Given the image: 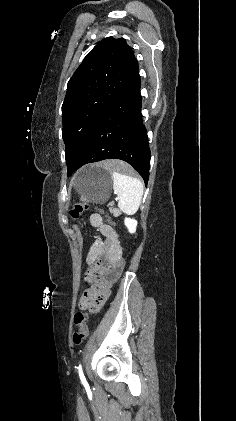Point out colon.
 <instances>
[{
    "label": "colon",
    "instance_id": "5ec220e1",
    "mask_svg": "<svg viewBox=\"0 0 236 421\" xmlns=\"http://www.w3.org/2000/svg\"><path fill=\"white\" fill-rule=\"evenodd\" d=\"M90 208V205L88 203H81L75 205L72 210L70 211V214L73 218L77 219L79 218L86 210ZM89 283L92 284V278L89 276ZM87 295L85 294L81 300V304H85V300ZM88 315L86 312L80 311L77 312L74 316V322L77 326V330L73 334V342L75 344H80L87 336H88Z\"/></svg>",
    "mask_w": 236,
    "mask_h": 421
}]
</instances>
